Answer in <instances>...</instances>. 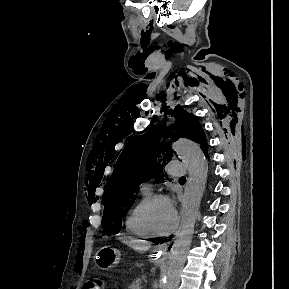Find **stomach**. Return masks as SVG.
<instances>
[{
	"instance_id": "stomach-1",
	"label": "stomach",
	"mask_w": 289,
	"mask_h": 289,
	"mask_svg": "<svg viewBox=\"0 0 289 289\" xmlns=\"http://www.w3.org/2000/svg\"><path fill=\"white\" fill-rule=\"evenodd\" d=\"M120 257L121 254L118 249L104 246L97 252L96 262L101 269L106 270L119 263Z\"/></svg>"
}]
</instances>
